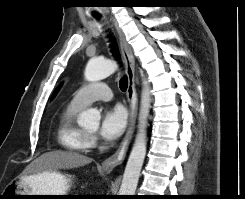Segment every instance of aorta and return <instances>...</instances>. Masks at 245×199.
<instances>
[{
	"mask_svg": "<svg viewBox=\"0 0 245 199\" xmlns=\"http://www.w3.org/2000/svg\"><path fill=\"white\" fill-rule=\"evenodd\" d=\"M116 69L117 64L111 60L92 58L86 65L84 76L87 81L96 82L110 76ZM149 108L150 87L148 82L144 80L139 111L138 132L125 167L119 195H135L146 155V126ZM100 118V112L97 109L90 108L80 114L78 124L83 127H98Z\"/></svg>",
	"mask_w": 245,
	"mask_h": 199,
	"instance_id": "762f6f07",
	"label": "aorta"
}]
</instances>
